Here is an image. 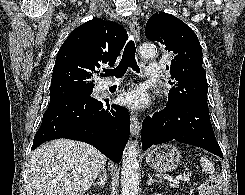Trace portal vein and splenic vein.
Listing matches in <instances>:
<instances>
[{
	"mask_svg": "<svg viewBox=\"0 0 245 195\" xmlns=\"http://www.w3.org/2000/svg\"><path fill=\"white\" fill-rule=\"evenodd\" d=\"M179 181L189 182L190 181V177L188 175H186V176H177L174 180H172L173 186L178 184Z\"/></svg>",
	"mask_w": 245,
	"mask_h": 195,
	"instance_id": "18ae733b",
	"label": "portal vein and splenic vein"
}]
</instances>
